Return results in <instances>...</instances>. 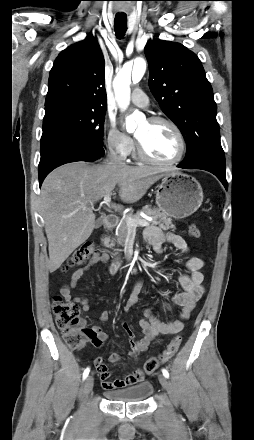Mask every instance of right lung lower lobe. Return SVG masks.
Wrapping results in <instances>:
<instances>
[{
    "label": "right lung lower lobe",
    "mask_w": 254,
    "mask_h": 440,
    "mask_svg": "<svg viewBox=\"0 0 254 440\" xmlns=\"http://www.w3.org/2000/svg\"><path fill=\"white\" fill-rule=\"evenodd\" d=\"M100 157H92V158H88V157H76V158H72L69 160H66L62 163H60L58 166L63 165L65 163H69V162H73V161H86V162H94L96 160H98ZM57 167V166H56ZM56 167H53L51 169H49L45 174L39 176V185L41 186L43 180L45 179V177Z\"/></svg>",
    "instance_id": "1"
}]
</instances>
